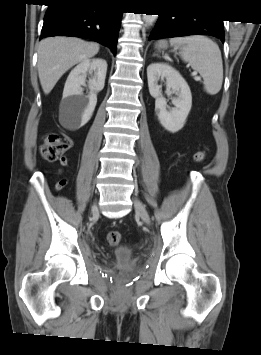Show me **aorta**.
<instances>
[{"label":"aorta","mask_w":261,"mask_h":355,"mask_svg":"<svg viewBox=\"0 0 261 355\" xmlns=\"http://www.w3.org/2000/svg\"><path fill=\"white\" fill-rule=\"evenodd\" d=\"M157 15L143 14V20L145 22V26H151L157 19Z\"/></svg>","instance_id":"1"}]
</instances>
